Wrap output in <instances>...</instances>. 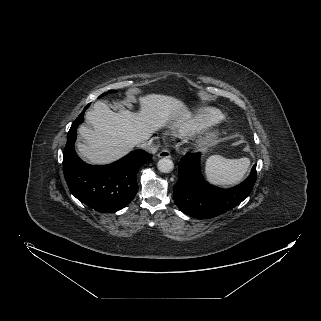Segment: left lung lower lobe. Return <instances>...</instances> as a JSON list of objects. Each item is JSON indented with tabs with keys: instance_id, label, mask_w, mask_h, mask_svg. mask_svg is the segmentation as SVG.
<instances>
[{
	"instance_id": "obj_1",
	"label": "left lung lower lobe",
	"mask_w": 321,
	"mask_h": 321,
	"mask_svg": "<svg viewBox=\"0 0 321 321\" xmlns=\"http://www.w3.org/2000/svg\"><path fill=\"white\" fill-rule=\"evenodd\" d=\"M200 153L186 154L178 167L179 178L173 196L178 208L195 218H213L237 206L251 193L256 177V165L241 184L221 189L207 183L200 172Z\"/></svg>"
}]
</instances>
